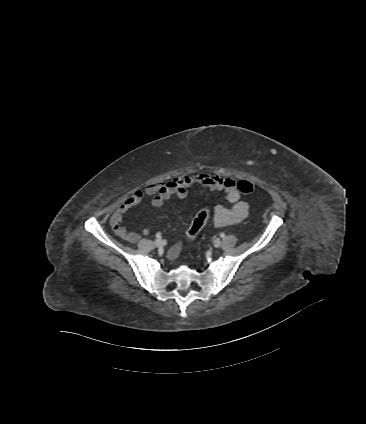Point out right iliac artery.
Segmentation results:
<instances>
[{"instance_id":"1","label":"right iliac artery","mask_w":366,"mask_h":424,"mask_svg":"<svg viewBox=\"0 0 366 424\" xmlns=\"http://www.w3.org/2000/svg\"><path fill=\"white\" fill-rule=\"evenodd\" d=\"M156 237H157V238H160V237H161V235L158 233V234L156 235Z\"/></svg>"}]
</instances>
